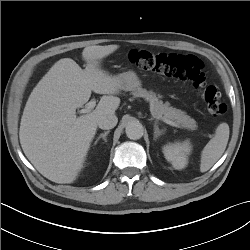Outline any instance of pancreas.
I'll return each instance as SVG.
<instances>
[{
    "label": "pancreas",
    "mask_w": 250,
    "mask_h": 250,
    "mask_svg": "<svg viewBox=\"0 0 250 250\" xmlns=\"http://www.w3.org/2000/svg\"><path fill=\"white\" fill-rule=\"evenodd\" d=\"M135 97H142L150 103V111L157 119H168L189 130H196V121L187 115L186 112L170 106V103H163L154 92L139 88L132 93Z\"/></svg>",
    "instance_id": "1"
}]
</instances>
